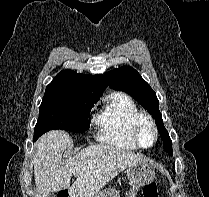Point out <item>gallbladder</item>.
I'll use <instances>...</instances> for the list:
<instances>
[{
    "instance_id": "gallbladder-1",
    "label": "gallbladder",
    "mask_w": 209,
    "mask_h": 197,
    "mask_svg": "<svg viewBox=\"0 0 209 197\" xmlns=\"http://www.w3.org/2000/svg\"><path fill=\"white\" fill-rule=\"evenodd\" d=\"M47 197H55V194L52 192Z\"/></svg>"
}]
</instances>
